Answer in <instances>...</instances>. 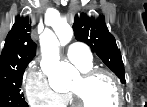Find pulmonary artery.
Here are the masks:
<instances>
[{"label":"pulmonary artery","instance_id":"e3ab8cb5","mask_svg":"<svg viewBox=\"0 0 147 107\" xmlns=\"http://www.w3.org/2000/svg\"><path fill=\"white\" fill-rule=\"evenodd\" d=\"M67 57L71 63L79 68L92 64V56L89 49L81 43H73L67 48Z\"/></svg>","mask_w":147,"mask_h":107}]
</instances>
